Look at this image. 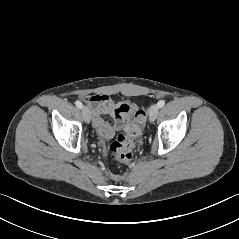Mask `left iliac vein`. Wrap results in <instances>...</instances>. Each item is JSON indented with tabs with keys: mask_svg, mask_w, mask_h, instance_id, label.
I'll use <instances>...</instances> for the list:
<instances>
[{
	"mask_svg": "<svg viewBox=\"0 0 239 239\" xmlns=\"http://www.w3.org/2000/svg\"><path fill=\"white\" fill-rule=\"evenodd\" d=\"M158 112H159L158 105L154 104L150 107V109H149V120H150V122L155 121V119L157 118Z\"/></svg>",
	"mask_w": 239,
	"mask_h": 239,
	"instance_id": "left-iliac-vein-1",
	"label": "left iliac vein"
}]
</instances>
